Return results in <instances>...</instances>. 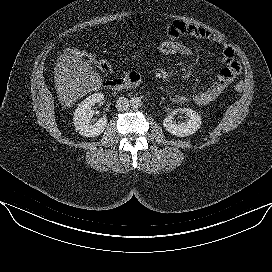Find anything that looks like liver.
I'll use <instances>...</instances> for the list:
<instances>
[{
    "label": "liver",
    "instance_id": "6515ba94",
    "mask_svg": "<svg viewBox=\"0 0 272 272\" xmlns=\"http://www.w3.org/2000/svg\"><path fill=\"white\" fill-rule=\"evenodd\" d=\"M55 87L60 103L71 107L79 98L98 89L102 78L97 71L79 56L61 55L54 68Z\"/></svg>",
    "mask_w": 272,
    "mask_h": 272
}]
</instances>
